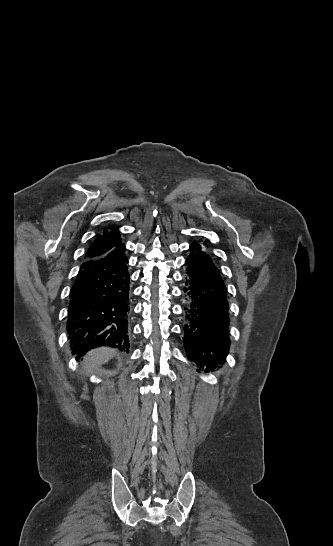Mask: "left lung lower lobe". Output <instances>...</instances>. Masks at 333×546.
<instances>
[{
    "label": "left lung lower lobe",
    "instance_id": "obj_1",
    "mask_svg": "<svg viewBox=\"0 0 333 546\" xmlns=\"http://www.w3.org/2000/svg\"><path fill=\"white\" fill-rule=\"evenodd\" d=\"M186 259L188 305L184 343L188 360L206 372L226 362L229 353V306L226 286L210 256L194 242Z\"/></svg>",
    "mask_w": 333,
    "mask_h": 546
}]
</instances>
